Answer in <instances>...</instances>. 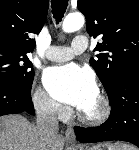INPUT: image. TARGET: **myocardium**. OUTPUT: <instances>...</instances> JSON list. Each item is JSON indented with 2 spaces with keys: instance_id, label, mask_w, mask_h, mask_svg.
Returning a JSON list of instances; mask_svg holds the SVG:
<instances>
[{
  "instance_id": "1",
  "label": "myocardium",
  "mask_w": 139,
  "mask_h": 150,
  "mask_svg": "<svg viewBox=\"0 0 139 150\" xmlns=\"http://www.w3.org/2000/svg\"><path fill=\"white\" fill-rule=\"evenodd\" d=\"M97 97L100 103V109L96 114L87 115L81 111L78 112V119L86 125L89 126L101 125L105 123L111 115L112 106L109 98L102 93L98 94Z\"/></svg>"
}]
</instances>
